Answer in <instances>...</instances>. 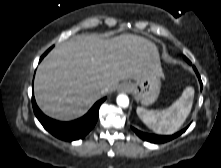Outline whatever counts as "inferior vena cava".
Segmentation results:
<instances>
[{
  "instance_id": "602c4592",
  "label": "inferior vena cava",
  "mask_w": 221,
  "mask_h": 168,
  "mask_svg": "<svg viewBox=\"0 0 221 168\" xmlns=\"http://www.w3.org/2000/svg\"><path fill=\"white\" fill-rule=\"evenodd\" d=\"M101 92H102V94H106V93L109 92V88L105 87V88L102 89Z\"/></svg>"
}]
</instances>
